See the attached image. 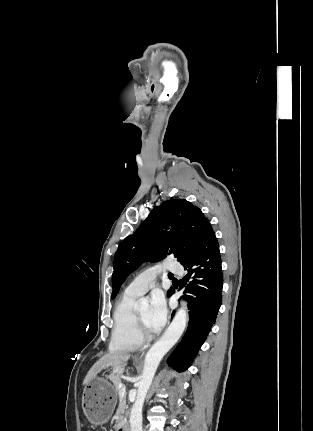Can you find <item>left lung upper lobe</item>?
I'll return each mask as SVG.
<instances>
[{"label": "left lung upper lobe", "instance_id": "1", "mask_svg": "<svg viewBox=\"0 0 313 431\" xmlns=\"http://www.w3.org/2000/svg\"><path fill=\"white\" fill-rule=\"evenodd\" d=\"M209 225L201 210L185 199H171L155 207L137 231L123 240L115 254L112 298L127 276L143 262L159 261L169 255L181 264L188 260Z\"/></svg>", "mask_w": 313, "mask_h": 431}]
</instances>
